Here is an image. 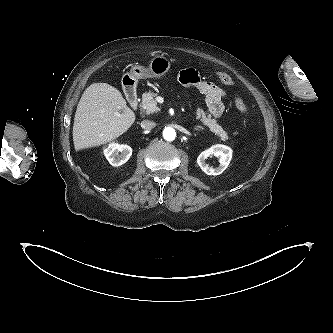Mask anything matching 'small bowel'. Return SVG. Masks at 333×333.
<instances>
[{
    "instance_id": "small-bowel-1",
    "label": "small bowel",
    "mask_w": 333,
    "mask_h": 333,
    "mask_svg": "<svg viewBox=\"0 0 333 333\" xmlns=\"http://www.w3.org/2000/svg\"><path fill=\"white\" fill-rule=\"evenodd\" d=\"M178 80L185 86L197 88L204 96L207 105V111L213 117L222 115L225 105L224 98L226 92L214 83L201 77L195 69L189 68L182 70L178 75Z\"/></svg>"
}]
</instances>
